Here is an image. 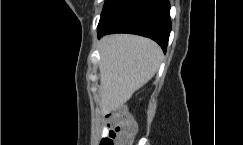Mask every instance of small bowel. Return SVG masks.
Here are the masks:
<instances>
[{"label":"small bowel","mask_w":243,"mask_h":145,"mask_svg":"<svg viewBox=\"0 0 243 145\" xmlns=\"http://www.w3.org/2000/svg\"><path fill=\"white\" fill-rule=\"evenodd\" d=\"M109 132V128L107 127H104L103 130H102V137H105Z\"/></svg>","instance_id":"obj_1"}]
</instances>
